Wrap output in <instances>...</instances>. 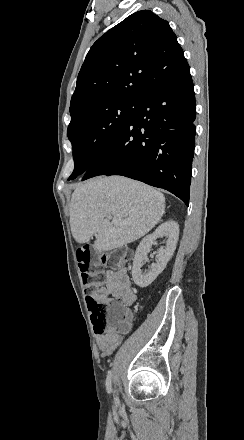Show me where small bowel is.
<instances>
[{
    "instance_id": "small-bowel-1",
    "label": "small bowel",
    "mask_w": 244,
    "mask_h": 440,
    "mask_svg": "<svg viewBox=\"0 0 244 440\" xmlns=\"http://www.w3.org/2000/svg\"><path fill=\"white\" fill-rule=\"evenodd\" d=\"M109 297L116 298L122 305L128 303L131 306L135 303L136 293L132 287L127 269L122 268L119 270L104 271L103 283L96 291L87 296V301H89L90 298L108 300ZM130 329H132V327H130ZM122 341L123 338H113L112 335H107V331L102 335H98L96 338L98 348L103 356L112 354Z\"/></svg>"
}]
</instances>
